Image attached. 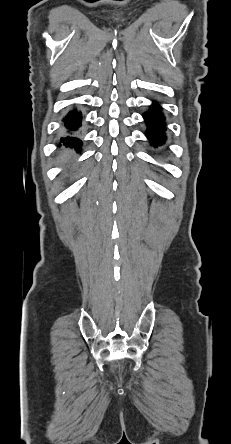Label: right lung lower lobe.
I'll return each mask as SVG.
<instances>
[{
	"instance_id": "1",
	"label": "right lung lower lobe",
	"mask_w": 231,
	"mask_h": 444,
	"mask_svg": "<svg viewBox=\"0 0 231 444\" xmlns=\"http://www.w3.org/2000/svg\"><path fill=\"white\" fill-rule=\"evenodd\" d=\"M82 122L81 113L76 110H71L64 117L63 123L65 128L68 130V133L73 134L80 126ZM62 142L67 146H73L76 149H80L82 146V141L76 136H67L61 139Z\"/></svg>"
}]
</instances>
